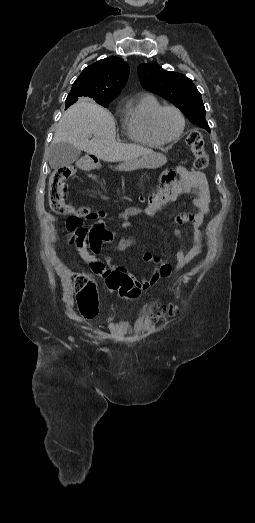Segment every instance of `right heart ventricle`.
Instances as JSON below:
<instances>
[{
  "instance_id": "obj_1",
  "label": "right heart ventricle",
  "mask_w": 255,
  "mask_h": 523,
  "mask_svg": "<svg viewBox=\"0 0 255 523\" xmlns=\"http://www.w3.org/2000/svg\"><path fill=\"white\" fill-rule=\"evenodd\" d=\"M161 105L162 103L153 93H145L127 105L121 125L130 142L147 146L162 144L150 129L151 116Z\"/></svg>"
}]
</instances>
